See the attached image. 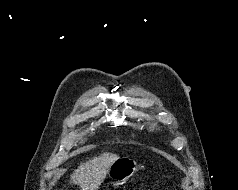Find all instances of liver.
<instances>
[{
	"mask_svg": "<svg viewBox=\"0 0 238 190\" xmlns=\"http://www.w3.org/2000/svg\"><path fill=\"white\" fill-rule=\"evenodd\" d=\"M119 159L113 153H102L93 157L74 170L70 182L78 184L81 190H97L104 181L111 165Z\"/></svg>",
	"mask_w": 238,
	"mask_h": 190,
	"instance_id": "liver-1",
	"label": "liver"
}]
</instances>
